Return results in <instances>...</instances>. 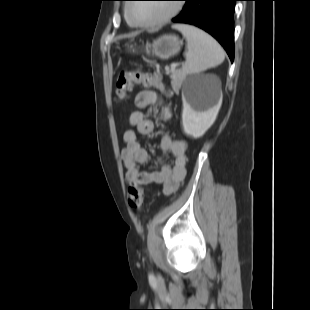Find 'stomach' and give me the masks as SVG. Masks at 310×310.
I'll list each match as a JSON object with an SVG mask.
<instances>
[{"mask_svg": "<svg viewBox=\"0 0 310 310\" xmlns=\"http://www.w3.org/2000/svg\"><path fill=\"white\" fill-rule=\"evenodd\" d=\"M182 41L175 35H164L155 40L152 45L146 46V54L160 59H169L181 49Z\"/></svg>", "mask_w": 310, "mask_h": 310, "instance_id": "stomach-1", "label": "stomach"}]
</instances>
